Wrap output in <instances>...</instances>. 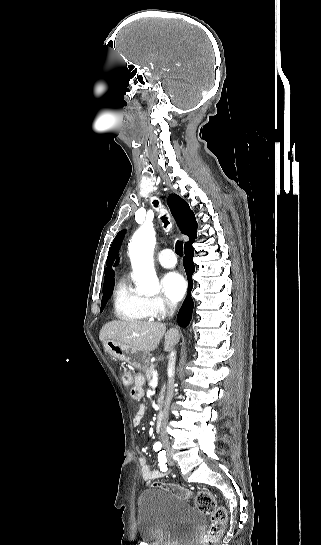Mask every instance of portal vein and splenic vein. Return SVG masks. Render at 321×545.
I'll return each instance as SVG.
<instances>
[{"label":"portal vein and splenic vein","instance_id":"obj_1","mask_svg":"<svg viewBox=\"0 0 321 545\" xmlns=\"http://www.w3.org/2000/svg\"><path fill=\"white\" fill-rule=\"evenodd\" d=\"M152 381L150 383V387H155L158 383V373H156V370H153V373H151Z\"/></svg>","mask_w":321,"mask_h":545}]
</instances>
